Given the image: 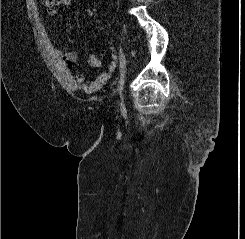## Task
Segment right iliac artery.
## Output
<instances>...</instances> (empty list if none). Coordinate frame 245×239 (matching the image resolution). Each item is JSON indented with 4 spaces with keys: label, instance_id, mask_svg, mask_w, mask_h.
I'll use <instances>...</instances> for the list:
<instances>
[{
    "label": "right iliac artery",
    "instance_id": "1",
    "mask_svg": "<svg viewBox=\"0 0 245 239\" xmlns=\"http://www.w3.org/2000/svg\"><path fill=\"white\" fill-rule=\"evenodd\" d=\"M119 60H120V62H119V73H120V76H121L122 71L125 68V64H126L125 56H124L121 48H120V58H119Z\"/></svg>",
    "mask_w": 245,
    "mask_h": 239
}]
</instances>
